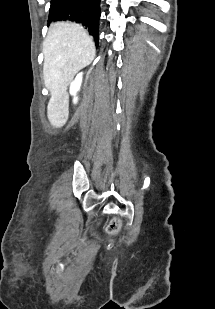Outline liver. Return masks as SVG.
Masks as SVG:
<instances>
[{
    "instance_id": "obj_1",
    "label": "liver",
    "mask_w": 215,
    "mask_h": 309,
    "mask_svg": "<svg viewBox=\"0 0 215 309\" xmlns=\"http://www.w3.org/2000/svg\"><path fill=\"white\" fill-rule=\"evenodd\" d=\"M44 78L51 92L48 118L62 126L68 118V106L58 108L67 86L76 72L95 58V44L87 30L77 22H51L43 42Z\"/></svg>"
}]
</instances>
